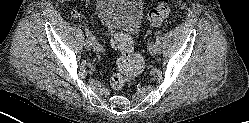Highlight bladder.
I'll use <instances>...</instances> for the list:
<instances>
[{"label":"bladder","instance_id":"31cf9c89","mask_svg":"<svg viewBox=\"0 0 249 123\" xmlns=\"http://www.w3.org/2000/svg\"><path fill=\"white\" fill-rule=\"evenodd\" d=\"M96 13L107 29L136 33L143 23L142 0H97Z\"/></svg>","mask_w":249,"mask_h":123}]
</instances>
